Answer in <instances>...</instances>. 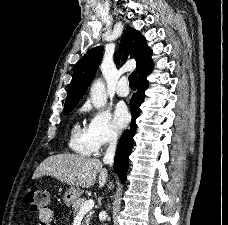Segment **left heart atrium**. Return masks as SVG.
Listing matches in <instances>:
<instances>
[{"instance_id":"obj_1","label":"left heart atrium","mask_w":228,"mask_h":225,"mask_svg":"<svg viewBox=\"0 0 228 225\" xmlns=\"http://www.w3.org/2000/svg\"><path fill=\"white\" fill-rule=\"evenodd\" d=\"M129 119H130V115L126 107L119 106L115 109L114 120L118 128L125 127L128 124Z\"/></svg>"}]
</instances>
